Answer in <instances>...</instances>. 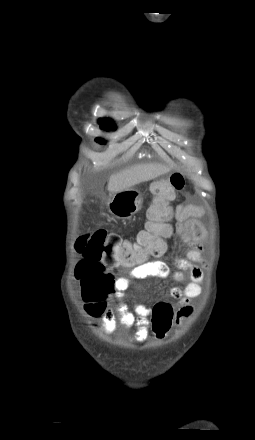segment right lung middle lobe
<instances>
[{"instance_id": "right-lung-middle-lobe-1", "label": "right lung middle lobe", "mask_w": 255, "mask_h": 440, "mask_svg": "<svg viewBox=\"0 0 255 440\" xmlns=\"http://www.w3.org/2000/svg\"><path fill=\"white\" fill-rule=\"evenodd\" d=\"M101 127L105 130H115V124L111 122L110 119H100ZM101 143H105L103 139L100 140Z\"/></svg>"}]
</instances>
